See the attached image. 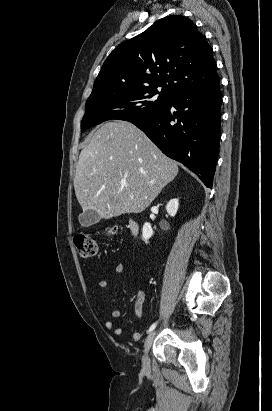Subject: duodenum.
Wrapping results in <instances>:
<instances>
[{"instance_id": "obj_1", "label": "duodenum", "mask_w": 272, "mask_h": 411, "mask_svg": "<svg viewBox=\"0 0 272 411\" xmlns=\"http://www.w3.org/2000/svg\"><path fill=\"white\" fill-rule=\"evenodd\" d=\"M129 230L134 235H136L139 232V225L135 220H131L129 222Z\"/></svg>"}]
</instances>
